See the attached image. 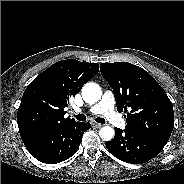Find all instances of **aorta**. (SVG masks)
Returning <instances> with one entry per match:
<instances>
[{
    "label": "aorta",
    "instance_id": "1",
    "mask_svg": "<svg viewBox=\"0 0 184 184\" xmlns=\"http://www.w3.org/2000/svg\"><path fill=\"white\" fill-rule=\"evenodd\" d=\"M102 90L96 83H87L82 88V98L86 103L93 104L101 99ZM114 129L104 126L100 129L99 135L105 141H110L114 137Z\"/></svg>",
    "mask_w": 184,
    "mask_h": 184
}]
</instances>
